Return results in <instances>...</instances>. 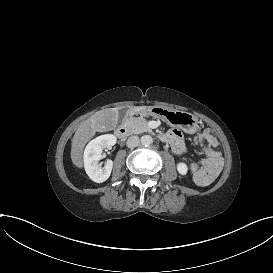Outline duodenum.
Returning <instances> with one entry per match:
<instances>
[{
    "mask_svg": "<svg viewBox=\"0 0 273 273\" xmlns=\"http://www.w3.org/2000/svg\"><path fill=\"white\" fill-rule=\"evenodd\" d=\"M142 111V109L140 108H137V107H131L129 109V115H134V114H137V113H140ZM128 135V129L126 126L124 125H121L117 128L116 130V136L119 138V139H124L126 138V136Z\"/></svg>",
    "mask_w": 273,
    "mask_h": 273,
    "instance_id": "1",
    "label": "duodenum"
}]
</instances>
